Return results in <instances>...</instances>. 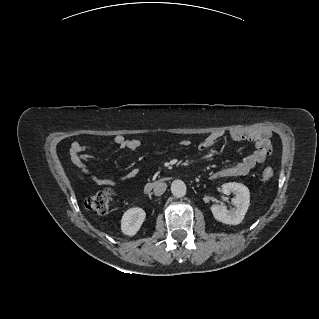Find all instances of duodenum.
Returning <instances> with one entry per match:
<instances>
[{"mask_svg": "<svg viewBox=\"0 0 319 319\" xmlns=\"http://www.w3.org/2000/svg\"><path fill=\"white\" fill-rule=\"evenodd\" d=\"M156 185V183L155 182H149V183H147L146 185H145V188H144V190H145V192H150L153 188H154V186Z\"/></svg>", "mask_w": 319, "mask_h": 319, "instance_id": "duodenum-1", "label": "duodenum"}]
</instances>
